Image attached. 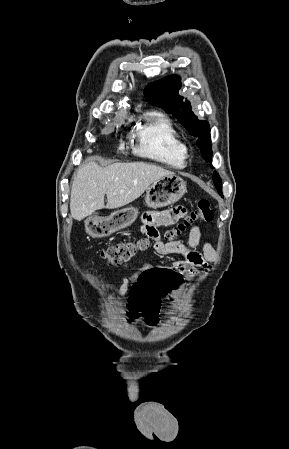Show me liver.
Here are the masks:
<instances>
[{
  "mask_svg": "<svg viewBox=\"0 0 289 449\" xmlns=\"http://www.w3.org/2000/svg\"><path fill=\"white\" fill-rule=\"evenodd\" d=\"M170 175L174 173L144 162L114 163L105 168L94 161L86 162L72 182L71 216L81 221L96 210L125 206L139 198L153 182Z\"/></svg>",
  "mask_w": 289,
  "mask_h": 449,
  "instance_id": "6515ba94",
  "label": "liver"
}]
</instances>
